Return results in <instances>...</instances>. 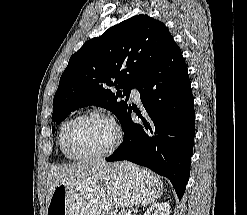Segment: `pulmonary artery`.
<instances>
[{"mask_svg": "<svg viewBox=\"0 0 247 215\" xmlns=\"http://www.w3.org/2000/svg\"><path fill=\"white\" fill-rule=\"evenodd\" d=\"M131 97L134 101L139 102L140 101V93L137 88H132L131 89Z\"/></svg>", "mask_w": 247, "mask_h": 215, "instance_id": "obj_1", "label": "pulmonary artery"}]
</instances>
